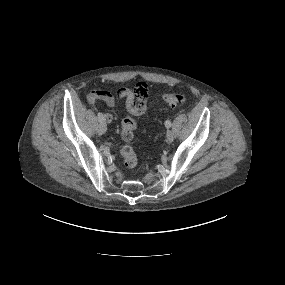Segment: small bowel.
I'll return each instance as SVG.
<instances>
[{"label": "small bowel", "instance_id": "small-bowel-1", "mask_svg": "<svg viewBox=\"0 0 285 285\" xmlns=\"http://www.w3.org/2000/svg\"><path fill=\"white\" fill-rule=\"evenodd\" d=\"M86 101L90 105L104 102L111 107L124 102L129 113L135 116L149 115L154 107V101L148 100L147 87L141 94H136L135 89L129 88H120L115 93L106 90H93L87 94ZM102 115L107 123L112 121V116L109 113Z\"/></svg>", "mask_w": 285, "mask_h": 285}]
</instances>
